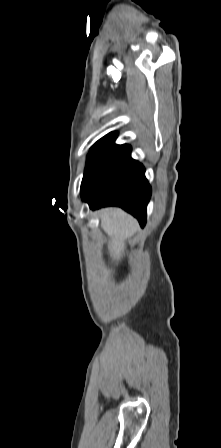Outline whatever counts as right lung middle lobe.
I'll list each match as a JSON object with an SVG mask.
<instances>
[{
	"instance_id": "right-lung-middle-lobe-1",
	"label": "right lung middle lobe",
	"mask_w": 221,
	"mask_h": 448,
	"mask_svg": "<svg viewBox=\"0 0 221 448\" xmlns=\"http://www.w3.org/2000/svg\"><path fill=\"white\" fill-rule=\"evenodd\" d=\"M111 148H91L90 153L87 157V165L85 168L81 188L86 184V182L91 177L95 169L101 164L104 158L112 151Z\"/></svg>"
}]
</instances>
